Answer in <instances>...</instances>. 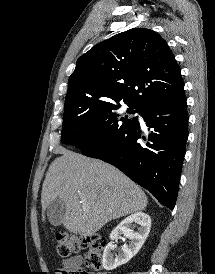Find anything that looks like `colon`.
<instances>
[{
    "mask_svg": "<svg viewBox=\"0 0 215 274\" xmlns=\"http://www.w3.org/2000/svg\"><path fill=\"white\" fill-rule=\"evenodd\" d=\"M57 252L61 257H68L72 253L87 249L86 265L98 271L103 267V251L106 245L105 238L94 234L90 236L71 237L66 233H58ZM77 274H94L81 270Z\"/></svg>",
    "mask_w": 215,
    "mask_h": 274,
    "instance_id": "colon-1",
    "label": "colon"
}]
</instances>
